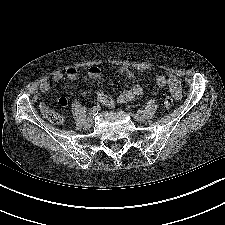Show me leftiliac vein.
<instances>
[{"instance_id": "obj_1", "label": "left iliac vein", "mask_w": 225, "mask_h": 225, "mask_svg": "<svg viewBox=\"0 0 225 225\" xmlns=\"http://www.w3.org/2000/svg\"><path fill=\"white\" fill-rule=\"evenodd\" d=\"M132 117L137 121V122H144L146 120V116L143 113H134L132 114Z\"/></svg>"}]
</instances>
